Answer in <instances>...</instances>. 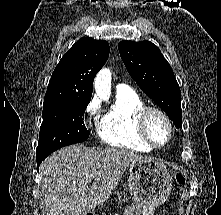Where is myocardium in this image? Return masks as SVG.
<instances>
[{
  "label": "myocardium",
  "mask_w": 221,
  "mask_h": 215,
  "mask_svg": "<svg viewBox=\"0 0 221 215\" xmlns=\"http://www.w3.org/2000/svg\"><path fill=\"white\" fill-rule=\"evenodd\" d=\"M154 114L160 116L165 121L168 127V138H167V141L163 145L156 144L149 133V129H148L149 120H150V117ZM137 128H138V132L141 138L146 143H148L152 148H155V149L166 147L170 143L173 137V132H174L173 123L170 117L167 115V113L159 107L147 106V105L144 106L138 113Z\"/></svg>",
  "instance_id": "myocardium-1"
}]
</instances>
